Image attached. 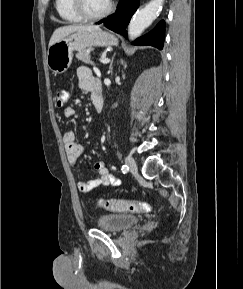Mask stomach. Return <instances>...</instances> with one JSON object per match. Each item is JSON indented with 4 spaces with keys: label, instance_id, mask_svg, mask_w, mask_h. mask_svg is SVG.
<instances>
[{
    "label": "stomach",
    "instance_id": "obj_1",
    "mask_svg": "<svg viewBox=\"0 0 243 289\" xmlns=\"http://www.w3.org/2000/svg\"><path fill=\"white\" fill-rule=\"evenodd\" d=\"M118 39L103 30H83L70 33L60 41L51 45L47 53V64L55 74L64 73L71 65L73 51H83L92 46H114Z\"/></svg>",
    "mask_w": 243,
    "mask_h": 289
}]
</instances>
